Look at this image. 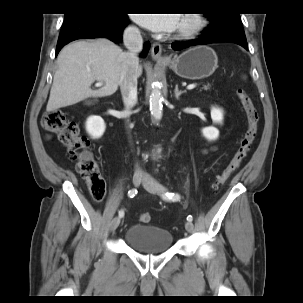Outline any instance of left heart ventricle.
Here are the masks:
<instances>
[{
    "mask_svg": "<svg viewBox=\"0 0 303 303\" xmlns=\"http://www.w3.org/2000/svg\"><path fill=\"white\" fill-rule=\"evenodd\" d=\"M187 22H189V18H188V17H182V16H181V18H180V20H179V26H181V25H183V24H185V23H187Z\"/></svg>",
    "mask_w": 303,
    "mask_h": 303,
    "instance_id": "obj_1",
    "label": "left heart ventricle"
}]
</instances>
